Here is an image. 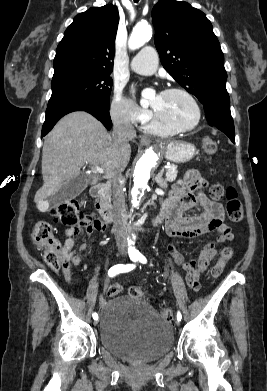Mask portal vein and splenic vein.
I'll use <instances>...</instances> for the list:
<instances>
[{"label": "portal vein and splenic vein", "instance_id": "portal-vein-and-splenic-vein-1", "mask_svg": "<svg viewBox=\"0 0 267 391\" xmlns=\"http://www.w3.org/2000/svg\"><path fill=\"white\" fill-rule=\"evenodd\" d=\"M166 169L170 168L169 166H165ZM91 169L96 172V173H100V174H104L105 173V170L100 167V166H91Z\"/></svg>", "mask_w": 267, "mask_h": 391}]
</instances>
